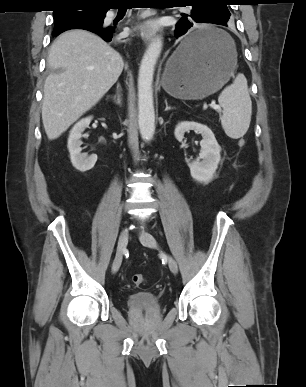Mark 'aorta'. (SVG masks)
<instances>
[{"label": "aorta", "mask_w": 306, "mask_h": 387, "mask_svg": "<svg viewBox=\"0 0 306 387\" xmlns=\"http://www.w3.org/2000/svg\"><path fill=\"white\" fill-rule=\"evenodd\" d=\"M163 47L161 37H156L146 49L138 73V125L144 141H150L155 131L153 101V75Z\"/></svg>", "instance_id": "762f6f07"}]
</instances>
